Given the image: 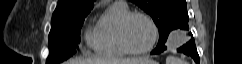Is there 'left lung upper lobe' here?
I'll list each match as a JSON object with an SVG mask.
<instances>
[{"label":"left lung upper lobe","mask_w":242,"mask_h":64,"mask_svg":"<svg viewBox=\"0 0 242 64\" xmlns=\"http://www.w3.org/2000/svg\"><path fill=\"white\" fill-rule=\"evenodd\" d=\"M154 20L159 29L157 46L165 45L171 30L188 26L186 0H130Z\"/></svg>","instance_id":"left-lung-upper-lobe-1"}]
</instances>
